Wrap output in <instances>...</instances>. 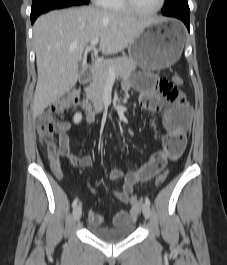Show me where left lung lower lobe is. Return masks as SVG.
<instances>
[{"label": "left lung lower lobe", "instance_id": "left-lung-lower-lobe-1", "mask_svg": "<svg viewBox=\"0 0 227 265\" xmlns=\"http://www.w3.org/2000/svg\"><path fill=\"white\" fill-rule=\"evenodd\" d=\"M168 16L176 17L182 20L185 23L187 29L190 30V15H168Z\"/></svg>", "mask_w": 227, "mask_h": 265}]
</instances>
